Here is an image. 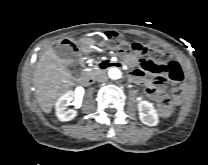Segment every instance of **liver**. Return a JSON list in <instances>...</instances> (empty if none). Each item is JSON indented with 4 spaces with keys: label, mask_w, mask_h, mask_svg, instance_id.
<instances>
[{
    "label": "liver",
    "mask_w": 208,
    "mask_h": 165,
    "mask_svg": "<svg viewBox=\"0 0 208 165\" xmlns=\"http://www.w3.org/2000/svg\"><path fill=\"white\" fill-rule=\"evenodd\" d=\"M33 82L39 107L46 114L51 112L57 99L73 86L71 73L52 47L40 56Z\"/></svg>",
    "instance_id": "obj_1"
}]
</instances>
